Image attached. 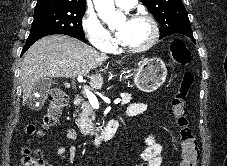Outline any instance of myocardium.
Masks as SVG:
<instances>
[{"label": "myocardium", "mask_w": 227, "mask_h": 166, "mask_svg": "<svg viewBox=\"0 0 227 166\" xmlns=\"http://www.w3.org/2000/svg\"><path fill=\"white\" fill-rule=\"evenodd\" d=\"M130 19L145 20L150 26L151 34L145 43L138 45V46H126L124 44H121L122 49H124L125 51H128V52H133V53H138V52H143V51L148 50L155 44V42L157 41L158 36H159V28H158L156 20L147 12L134 13L131 15Z\"/></svg>", "instance_id": "obj_1"}]
</instances>
